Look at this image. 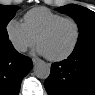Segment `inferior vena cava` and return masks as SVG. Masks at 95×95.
<instances>
[{"label": "inferior vena cava", "instance_id": "1", "mask_svg": "<svg viewBox=\"0 0 95 95\" xmlns=\"http://www.w3.org/2000/svg\"><path fill=\"white\" fill-rule=\"evenodd\" d=\"M16 50L19 52H25L27 48L25 46L19 45L16 47Z\"/></svg>", "mask_w": 95, "mask_h": 95}]
</instances>
